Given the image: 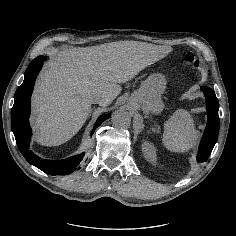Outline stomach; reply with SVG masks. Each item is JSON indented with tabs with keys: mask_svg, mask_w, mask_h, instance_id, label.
I'll use <instances>...</instances> for the list:
<instances>
[{
	"mask_svg": "<svg viewBox=\"0 0 236 236\" xmlns=\"http://www.w3.org/2000/svg\"><path fill=\"white\" fill-rule=\"evenodd\" d=\"M166 83V79L162 74L150 75L142 83L139 90L131 95V102L139 105L144 113H159L163 109L161 95L166 88Z\"/></svg>",
	"mask_w": 236,
	"mask_h": 236,
	"instance_id": "obj_1",
	"label": "stomach"
}]
</instances>
